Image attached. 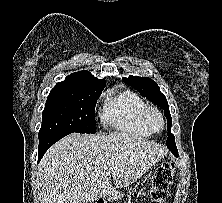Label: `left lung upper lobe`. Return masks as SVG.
Instances as JSON below:
<instances>
[{
    "label": "left lung upper lobe",
    "instance_id": "obj_1",
    "mask_svg": "<svg viewBox=\"0 0 222 203\" xmlns=\"http://www.w3.org/2000/svg\"><path fill=\"white\" fill-rule=\"evenodd\" d=\"M123 81L132 86L142 96L146 97L151 102L165 110L164 114L167 117L168 138L166 145L168 148L176 147L174 135L171 133V115L169 113V105L166 97L160 92L158 84L150 78L138 77L130 75L128 78H123Z\"/></svg>",
    "mask_w": 222,
    "mask_h": 203
}]
</instances>
